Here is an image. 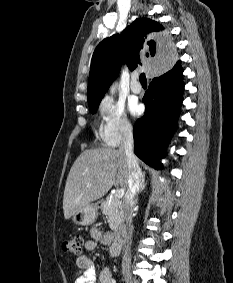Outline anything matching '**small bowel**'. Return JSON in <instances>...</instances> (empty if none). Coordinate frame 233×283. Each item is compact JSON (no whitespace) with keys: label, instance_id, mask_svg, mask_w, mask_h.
<instances>
[{"label":"small bowel","instance_id":"c3829d8e","mask_svg":"<svg viewBox=\"0 0 233 283\" xmlns=\"http://www.w3.org/2000/svg\"><path fill=\"white\" fill-rule=\"evenodd\" d=\"M91 239L85 242V249L94 251L101 245H109V257L115 258L119 255L114 246L111 233H103L97 228L91 229ZM78 275L74 283H97L96 269L93 260L82 255L77 259ZM99 283H116L109 268H104L99 275Z\"/></svg>","mask_w":233,"mask_h":283}]
</instances>
